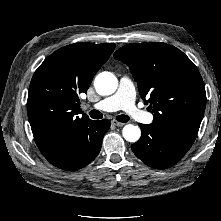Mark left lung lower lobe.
Wrapping results in <instances>:
<instances>
[{
    "instance_id": "left-lung-lower-lobe-1",
    "label": "left lung lower lobe",
    "mask_w": 221,
    "mask_h": 221,
    "mask_svg": "<svg viewBox=\"0 0 221 221\" xmlns=\"http://www.w3.org/2000/svg\"><path fill=\"white\" fill-rule=\"evenodd\" d=\"M142 135L131 146L134 154L145 164L165 169L179 162L195 141L196 135L164 124H139Z\"/></svg>"
}]
</instances>
